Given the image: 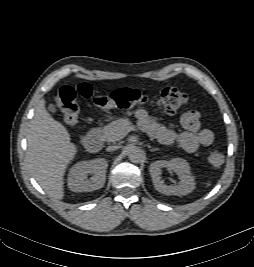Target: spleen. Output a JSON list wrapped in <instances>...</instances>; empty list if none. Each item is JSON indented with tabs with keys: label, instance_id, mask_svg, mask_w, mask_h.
I'll return each mask as SVG.
<instances>
[{
	"label": "spleen",
	"instance_id": "obj_1",
	"mask_svg": "<svg viewBox=\"0 0 254 267\" xmlns=\"http://www.w3.org/2000/svg\"><path fill=\"white\" fill-rule=\"evenodd\" d=\"M206 185H207V187H208V186H210V185H211V183H210V182H208Z\"/></svg>",
	"mask_w": 254,
	"mask_h": 267
}]
</instances>
